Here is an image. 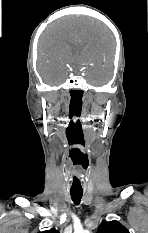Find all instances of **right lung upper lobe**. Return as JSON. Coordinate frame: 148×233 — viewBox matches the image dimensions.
<instances>
[{"label":"right lung upper lobe","mask_w":148,"mask_h":233,"mask_svg":"<svg viewBox=\"0 0 148 233\" xmlns=\"http://www.w3.org/2000/svg\"><path fill=\"white\" fill-rule=\"evenodd\" d=\"M39 233H59V231H57L56 229L52 228L50 230H46V231L39 232Z\"/></svg>","instance_id":"1"}]
</instances>
